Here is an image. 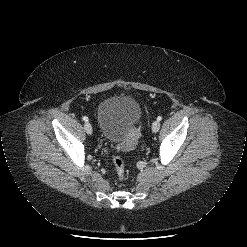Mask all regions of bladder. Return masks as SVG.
Listing matches in <instances>:
<instances>
[{
    "instance_id": "1",
    "label": "bladder",
    "mask_w": 247,
    "mask_h": 247,
    "mask_svg": "<svg viewBox=\"0 0 247 247\" xmlns=\"http://www.w3.org/2000/svg\"><path fill=\"white\" fill-rule=\"evenodd\" d=\"M141 115L140 104L130 96L116 95L104 99L97 108L102 137L122 151H131L137 142L136 127Z\"/></svg>"
}]
</instances>
